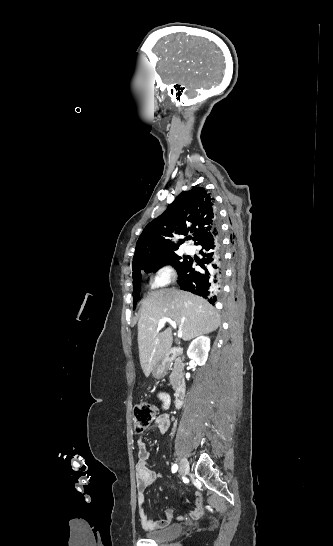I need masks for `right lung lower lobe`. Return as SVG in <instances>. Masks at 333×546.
I'll list each match as a JSON object with an SVG mask.
<instances>
[{
  "instance_id": "1",
  "label": "right lung lower lobe",
  "mask_w": 333,
  "mask_h": 546,
  "mask_svg": "<svg viewBox=\"0 0 333 546\" xmlns=\"http://www.w3.org/2000/svg\"><path fill=\"white\" fill-rule=\"evenodd\" d=\"M195 244L204 250L200 252L203 255L201 262H197L202 270H195L196 263L190 258L179 269L177 282L182 290L202 296L214 305L223 276V250L218 228L215 226Z\"/></svg>"
}]
</instances>
